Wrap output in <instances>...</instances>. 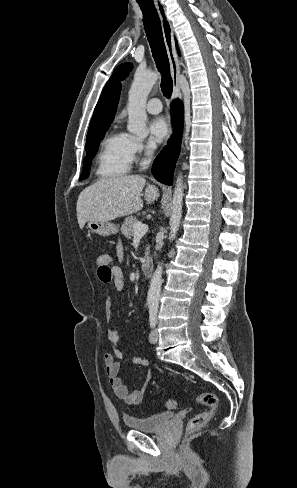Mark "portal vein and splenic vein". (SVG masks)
Segmentation results:
<instances>
[{"label":"portal vein and splenic vein","instance_id":"portal-vein-and-splenic-vein-1","mask_svg":"<svg viewBox=\"0 0 297 488\" xmlns=\"http://www.w3.org/2000/svg\"><path fill=\"white\" fill-rule=\"evenodd\" d=\"M148 231V226L142 222H137L134 224V240L140 239Z\"/></svg>","mask_w":297,"mask_h":488}]
</instances>
